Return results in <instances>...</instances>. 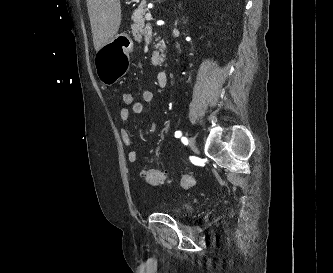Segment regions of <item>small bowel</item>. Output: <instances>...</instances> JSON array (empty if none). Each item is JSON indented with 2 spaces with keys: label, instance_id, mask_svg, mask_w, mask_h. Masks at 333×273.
Masks as SVG:
<instances>
[{
  "label": "small bowel",
  "instance_id": "small-bowel-1",
  "mask_svg": "<svg viewBox=\"0 0 333 273\" xmlns=\"http://www.w3.org/2000/svg\"><path fill=\"white\" fill-rule=\"evenodd\" d=\"M153 92L150 89H143L141 92V101H133L130 103L131 112L133 114H141L144 110V103H150L153 101ZM130 110L128 108H120L118 111V119L122 122H125L129 119ZM121 138L127 147V160L131 164H136L138 161V154L135 149L131 147V135L126 128L120 130Z\"/></svg>",
  "mask_w": 333,
  "mask_h": 273
}]
</instances>
